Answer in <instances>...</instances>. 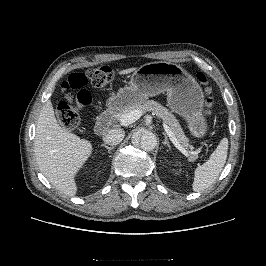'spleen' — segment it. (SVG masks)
I'll use <instances>...</instances> for the list:
<instances>
[{
  "label": "spleen",
  "instance_id": "spleen-1",
  "mask_svg": "<svg viewBox=\"0 0 266 266\" xmlns=\"http://www.w3.org/2000/svg\"><path fill=\"white\" fill-rule=\"evenodd\" d=\"M227 151L228 139L223 138L209 160L195 169L193 191H204L216 181L226 163Z\"/></svg>",
  "mask_w": 266,
  "mask_h": 266
}]
</instances>
